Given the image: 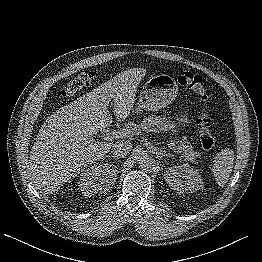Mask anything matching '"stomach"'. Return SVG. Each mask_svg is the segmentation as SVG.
Returning a JSON list of instances; mask_svg holds the SVG:
<instances>
[{"instance_id":"1","label":"stomach","mask_w":262,"mask_h":262,"mask_svg":"<svg viewBox=\"0 0 262 262\" xmlns=\"http://www.w3.org/2000/svg\"><path fill=\"white\" fill-rule=\"evenodd\" d=\"M178 85L174 78L167 74L153 75L140 91L139 100L135 107L136 114L141 109L157 111L169 105L177 96ZM181 123H187V118L181 116Z\"/></svg>"}]
</instances>
